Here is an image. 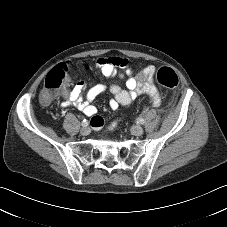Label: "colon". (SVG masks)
<instances>
[{"mask_svg":"<svg viewBox=\"0 0 227 227\" xmlns=\"http://www.w3.org/2000/svg\"><path fill=\"white\" fill-rule=\"evenodd\" d=\"M155 77L158 84L165 88H175L179 83L176 72L169 67L160 68L156 72ZM68 79L69 71L67 66L60 65L54 67L44 81L41 91V100L44 103H50L55 98L58 90L68 81ZM91 123L94 127L102 125V121L99 117H94Z\"/></svg>","mask_w":227,"mask_h":227,"instance_id":"5ec220e1","label":"colon"}]
</instances>
